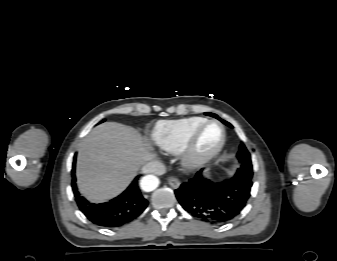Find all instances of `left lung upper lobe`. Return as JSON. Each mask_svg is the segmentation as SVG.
<instances>
[{"label":"left lung upper lobe","mask_w":337,"mask_h":261,"mask_svg":"<svg viewBox=\"0 0 337 261\" xmlns=\"http://www.w3.org/2000/svg\"><path fill=\"white\" fill-rule=\"evenodd\" d=\"M221 121L224 122L223 120H221ZM237 157L239 159V162L241 163L240 168L243 169L245 172H251L252 173L251 157H250V154H249V152L246 149L244 144L240 145V149H239V152L237 154Z\"/></svg>","instance_id":"5c2ea615"}]
</instances>
